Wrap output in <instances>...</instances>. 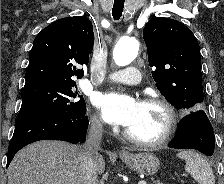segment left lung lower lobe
Segmentation results:
<instances>
[{"mask_svg":"<svg viewBox=\"0 0 224 184\" xmlns=\"http://www.w3.org/2000/svg\"><path fill=\"white\" fill-rule=\"evenodd\" d=\"M170 148L195 149L211 156L215 147L212 125L201 109L191 112L178 124L177 135L169 143Z\"/></svg>","mask_w":224,"mask_h":184,"instance_id":"0a47b994","label":"left lung lower lobe"}]
</instances>
